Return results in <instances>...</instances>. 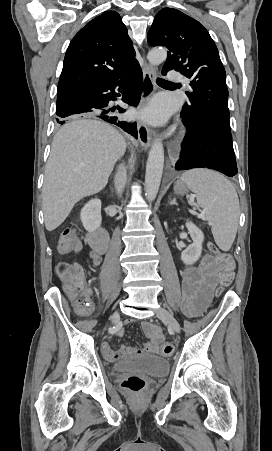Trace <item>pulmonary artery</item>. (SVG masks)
I'll list each match as a JSON object with an SVG mask.
<instances>
[{"label": "pulmonary artery", "instance_id": "e3ab8cb5", "mask_svg": "<svg viewBox=\"0 0 272 451\" xmlns=\"http://www.w3.org/2000/svg\"><path fill=\"white\" fill-rule=\"evenodd\" d=\"M169 74V79L173 82H178L181 79V76L179 75L180 73L177 69H172Z\"/></svg>", "mask_w": 272, "mask_h": 451}]
</instances>
